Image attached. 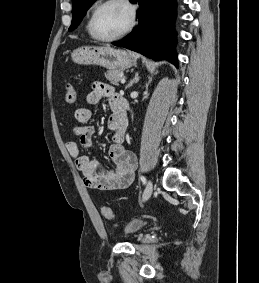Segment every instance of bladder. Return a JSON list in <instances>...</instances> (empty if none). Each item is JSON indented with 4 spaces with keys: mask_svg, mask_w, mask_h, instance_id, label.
<instances>
[{
    "mask_svg": "<svg viewBox=\"0 0 259 283\" xmlns=\"http://www.w3.org/2000/svg\"><path fill=\"white\" fill-rule=\"evenodd\" d=\"M144 225H145V222L143 220H140V219L131 220L125 225L123 229V233L125 236H130L138 232Z\"/></svg>",
    "mask_w": 259,
    "mask_h": 283,
    "instance_id": "31cf9c89",
    "label": "bladder"
}]
</instances>
